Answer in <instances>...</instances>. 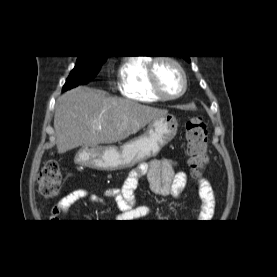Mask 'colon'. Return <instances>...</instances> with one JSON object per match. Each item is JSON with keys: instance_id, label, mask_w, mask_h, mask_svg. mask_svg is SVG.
I'll return each mask as SVG.
<instances>
[{"instance_id": "5ec220e1", "label": "colon", "mask_w": 277, "mask_h": 277, "mask_svg": "<svg viewBox=\"0 0 277 277\" xmlns=\"http://www.w3.org/2000/svg\"><path fill=\"white\" fill-rule=\"evenodd\" d=\"M185 142L188 153V163L192 171H201L206 163L207 125L203 118L192 117L185 126ZM62 173L56 161L46 162L42 168L38 184L41 194L51 198L61 187Z\"/></svg>"}]
</instances>
